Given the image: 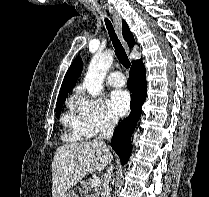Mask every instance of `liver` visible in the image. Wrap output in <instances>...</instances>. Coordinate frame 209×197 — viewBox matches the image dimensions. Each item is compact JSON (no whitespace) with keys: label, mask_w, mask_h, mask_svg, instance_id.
I'll return each instance as SVG.
<instances>
[{"label":"liver","mask_w":209,"mask_h":197,"mask_svg":"<svg viewBox=\"0 0 209 197\" xmlns=\"http://www.w3.org/2000/svg\"><path fill=\"white\" fill-rule=\"evenodd\" d=\"M113 159L106 145L70 143L57 148L52 161V197H61L86 175L103 170Z\"/></svg>","instance_id":"obj_1"}]
</instances>
